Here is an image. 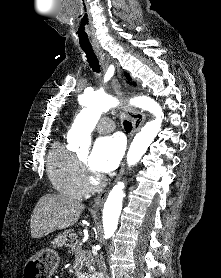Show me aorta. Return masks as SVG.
I'll return each mask as SVG.
<instances>
[{"mask_svg":"<svg viewBox=\"0 0 221 278\" xmlns=\"http://www.w3.org/2000/svg\"><path fill=\"white\" fill-rule=\"evenodd\" d=\"M132 104L149 111L155 119L147 122L134 137L128 154L127 163L135 165L145 154L149 145L154 141L161 130L164 117L161 106L149 97H140L132 100ZM85 107L77 115L71 130L69 141L78 147L80 152L87 151L91 143V132L95 128L101 114L108 111L113 105V99L101 92H92L85 97ZM124 183L118 182L109 192L103 208L104 238L113 236L118 226V219L122 210Z\"/></svg>","mask_w":221,"mask_h":278,"instance_id":"obj_1","label":"aorta"}]
</instances>
